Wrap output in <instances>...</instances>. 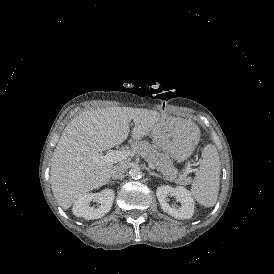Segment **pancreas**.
I'll return each instance as SVG.
<instances>
[{"instance_id":"obj_1","label":"pancreas","mask_w":274,"mask_h":274,"mask_svg":"<svg viewBox=\"0 0 274 274\" xmlns=\"http://www.w3.org/2000/svg\"><path fill=\"white\" fill-rule=\"evenodd\" d=\"M131 152L143 157L148 163H152L168 180H174L176 183L183 185L192 182L190 177L178 172L169 156L158 152L147 141H134L131 144Z\"/></svg>"}]
</instances>
